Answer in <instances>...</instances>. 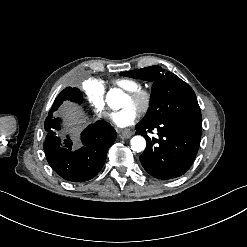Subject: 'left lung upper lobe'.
I'll return each instance as SVG.
<instances>
[{
  "mask_svg": "<svg viewBox=\"0 0 247 247\" xmlns=\"http://www.w3.org/2000/svg\"><path fill=\"white\" fill-rule=\"evenodd\" d=\"M121 75L154 82L150 107L139 124L152 125L175 118L201 124V111L195 92L175 74H164L160 66H150L122 72Z\"/></svg>",
  "mask_w": 247,
  "mask_h": 247,
  "instance_id": "obj_1",
  "label": "left lung upper lobe"
}]
</instances>
